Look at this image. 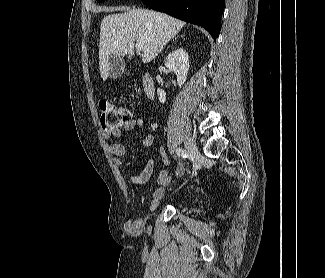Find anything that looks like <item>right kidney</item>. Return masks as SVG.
I'll use <instances>...</instances> for the list:
<instances>
[{
    "mask_svg": "<svg viewBox=\"0 0 325 278\" xmlns=\"http://www.w3.org/2000/svg\"><path fill=\"white\" fill-rule=\"evenodd\" d=\"M165 66L176 74L178 85L181 87L187 79L190 67L188 53L183 48L175 49L166 57ZM157 94L159 101L164 103L166 101V93L162 89H158Z\"/></svg>",
    "mask_w": 325,
    "mask_h": 278,
    "instance_id": "right-kidney-1",
    "label": "right kidney"
}]
</instances>
